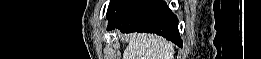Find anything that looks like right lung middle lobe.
<instances>
[{
	"mask_svg": "<svg viewBox=\"0 0 261 59\" xmlns=\"http://www.w3.org/2000/svg\"><path fill=\"white\" fill-rule=\"evenodd\" d=\"M124 0H111L109 7H108V12L107 14L111 13L113 10H115L117 7H119Z\"/></svg>",
	"mask_w": 261,
	"mask_h": 59,
	"instance_id": "1",
	"label": "right lung middle lobe"
}]
</instances>
